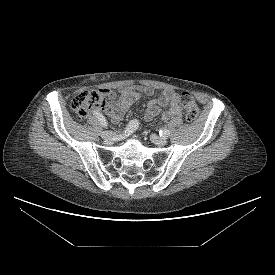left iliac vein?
I'll use <instances>...</instances> for the list:
<instances>
[{"label":"left iliac vein","instance_id":"left-iliac-vein-1","mask_svg":"<svg viewBox=\"0 0 275 275\" xmlns=\"http://www.w3.org/2000/svg\"><path fill=\"white\" fill-rule=\"evenodd\" d=\"M150 139L157 146H164L166 145V142H167L165 138L159 137L156 134H152L150 136Z\"/></svg>","mask_w":275,"mask_h":275}]
</instances>
